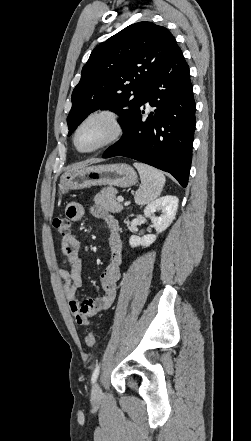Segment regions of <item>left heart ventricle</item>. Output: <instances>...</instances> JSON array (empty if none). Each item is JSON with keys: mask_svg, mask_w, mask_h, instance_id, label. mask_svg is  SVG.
<instances>
[{"mask_svg": "<svg viewBox=\"0 0 251 441\" xmlns=\"http://www.w3.org/2000/svg\"><path fill=\"white\" fill-rule=\"evenodd\" d=\"M111 130L107 120L102 118L91 120L79 132L78 145L83 150L93 148L105 140Z\"/></svg>", "mask_w": 251, "mask_h": 441, "instance_id": "obj_1", "label": "left heart ventricle"}]
</instances>
